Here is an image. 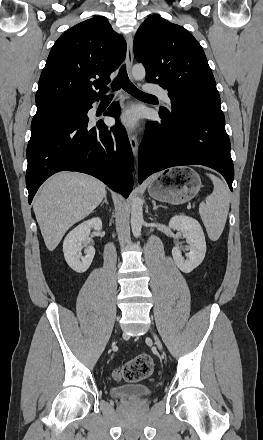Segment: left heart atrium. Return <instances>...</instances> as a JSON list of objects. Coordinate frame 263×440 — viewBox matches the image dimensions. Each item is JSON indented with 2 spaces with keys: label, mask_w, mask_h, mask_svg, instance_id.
<instances>
[{
  "label": "left heart atrium",
  "mask_w": 263,
  "mask_h": 440,
  "mask_svg": "<svg viewBox=\"0 0 263 440\" xmlns=\"http://www.w3.org/2000/svg\"><path fill=\"white\" fill-rule=\"evenodd\" d=\"M138 118V112L134 109H131L123 113L116 122L126 128H132L136 125Z\"/></svg>",
  "instance_id": "left-heart-atrium-1"
}]
</instances>
